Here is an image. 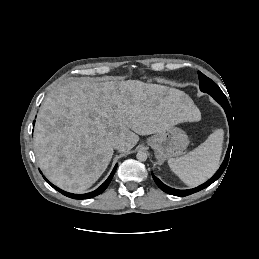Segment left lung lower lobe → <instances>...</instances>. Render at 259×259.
I'll list each match as a JSON object with an SVG mask.
<instances>
[{"label":"left lung lower lobe","mask_w":259,"mask_h":259,"mask_svg":"<svg viewBox=\"0 0 259 259\" xmlns=\"http://www.w3.org/2000/svg\"><path fill=\"white\" fill-rule=\"evenodd\" d=\"M211 96L224 108V110L226 112V115H227V118H228L229 126H230V143H229V147H228V150H227V153H226V157H225L222 165L220 166L219 170L215 173V175L211 179H209L204 184H202V185H200L196 188L189 189V190H177V189L170 188V187L166 186L165 184H163L156 176H154L152 174L153 179L155 180L158 187L168 194L183 197V196H187V195L193 194L195 192H198V191L208 187L209 185H211L214 181H216L222 175V173L224 172V170L227 166L230 151H231V147H232V144H233L232 111H231L229 102H228L225 95H211Z\"/></svg>","instance_id":"left-lung-lower-lobe-1"}]
</instances>
